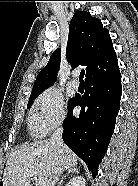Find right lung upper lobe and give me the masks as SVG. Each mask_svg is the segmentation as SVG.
Wrapping results in <instances>:
<instances>
[{
	"label": "right lung upper lobe",
	"mask_w": 138,
	"mask_h": 186,
	"mask_svg": "<svg viewBox=\"0 0 138 186\" xmlns=\"http://www.w3.org/2000/svg\"><path fill=\"white\" fill-rule=\"evenodd\" d=\"M60 55V49L53 52L38 74L31 95L42 93L56 81ZM66 55L72 68L78 65L86 67L85 82L120 74L109 31L89 12L77 11L71 19Z\"/></svg>",
	"instance_id": "right-lung-upper-lobe-1"
}]
</instances>
